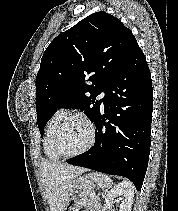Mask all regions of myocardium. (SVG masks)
<instances>
[{
	"instance_id": "myocardium-1",
	"label": "myocardium",
	"mask_w": 178,
	"mask_h": 211,
	"mask_svg": "<svg viewBox=\"0 0 178 211\" xmlns=\"http://www.w3.org/2000/svg\"><path fill=\"white\" fill-rule=\"evenodd\" d=\"M72 119L81 120L87 125L88 130H89V139H88L87 144L80 151L73 154H63L60 152L59 147H58V137L63 127L67 124L68 121ZM95 137H96L95 126H94V123L90 120V118H88L86 115L79 112L68 113L59 123V125L57 126L54 132L53 143H52L53 149L60 158L69 159V158L77 157L87 152L93 146L95 142Z\"/></svg>"
}]
</instances>
